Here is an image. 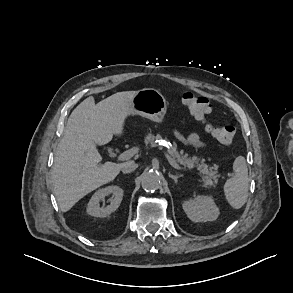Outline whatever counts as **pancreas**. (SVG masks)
I'll return each instance as SVG.
<instances>
[{"mask_svg": "<svg viewBox=\"0 0 293 293\" xmlns=\"http://www.w3.org/2000/svg\"><path fill=\"white\" fill-rule=\"evenodd\" d=\"M160 135L147 134L144 140L145 144L154 145L155 140H159ZM168 155L178 164L182 165L185 169L197 168L202 175V182L206 188H212L217 183L219 175L217 174V165L210 166L205 163V159L197 156L189 157L183 150L178 151L176 143H173L167 150Z\"/></svg>", "mask_w": 293, "mask_h": 293, "instance_id": "obj_1", "label": "pancreas"}]
</instances>
